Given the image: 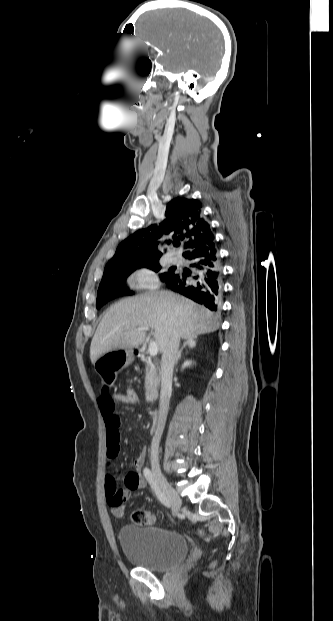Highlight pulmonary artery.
I'll return each instance as SVG.
<instances>
[{"mask_svg": "<svg viewBox=\"0 0 333 621\" xmlns=\"http://www.w3.org/2000/svg\"><path fill=\"white\" fill-rule=\"evenodd\" d=\"M171 261L173 263H179L181 260H180V258L178 256L174 255V256L171 257Z\"/></svg>", "mask_w": 333, "mask_h": 621, "instance_id": "pulmonary-artery-1", "label": "pulmonary artery"}]
</instances>
